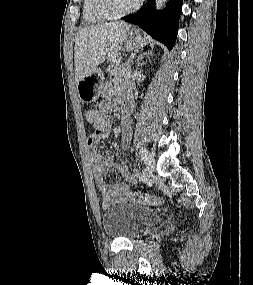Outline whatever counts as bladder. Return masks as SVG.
<instances>
[{
  "instance_id": "bladder-1",
  "label": "bladder",
  "mask_w": 253,
  "mask_h": 285,
  "mask_svg": "<svg viewBox=\"0 0 253 285\" xmlns=\"http://www.w3.org/2000/svg\"><path fill=\"white\" fill-rule=\"evenodd\" d=\"M159 220V213L152 208L123 203L112 206L103 213L102 227L110 238L132 239Z\"/></svg>"
}]
</instances>
